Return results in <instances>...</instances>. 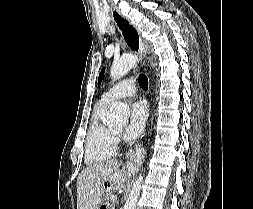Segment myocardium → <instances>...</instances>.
<instances>
[{
    "label": "myocardium",
    "instance_id": "f54148a6",
    "mask_svg": "<svg viewBox=\"0 0 253 209\" xmlns=\"http://www.w3.org/2000/svg\"><path fill=\"white\" fill-rule=\"evenodd\" d=\"M113 133H114V135H115V137L117 136H119V133L118 132H116V131H113Z\"/></svg>",
    "mask_w": 253,
    "mask_h": 209
}]
</instances>
